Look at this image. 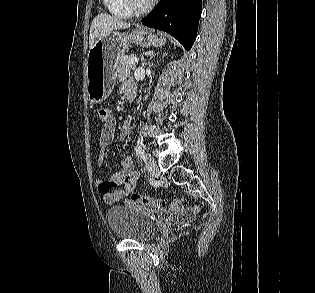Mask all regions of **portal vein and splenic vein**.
<instances>
[{"instance_id": "portal-vein-and-splenic-vein-1", "label": "portal vein and splenic vein", "mask_w": 315, "mask_h": 293, "mask_svg": "<svg viewBox=\"0 0 315 293\" xmlns=\"http://www.w3.org/2000/svg\"><path fill=\"white\" fill-rule=\"evenodd\" d=\"M138 61H139V59L137 57H131V58H129L128 63L129 64H135Z\"/></svg>"}]
</instances>
